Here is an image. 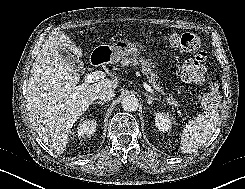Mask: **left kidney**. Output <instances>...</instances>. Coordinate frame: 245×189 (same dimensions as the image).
<instances>
[{"label": "left kidney", "instance_id": "left-kidney-1", "mask_svg": "<svg viewBox=\"0 0 245 189\" xmlns=\"http://www.w3.org/2000/svg\"><path fill=\"white\" fill-rule=\"evenodd\" d=\"M155 125L159 131L166 132L171 129L172 120L168 114L156 113L155 114Z\"/></svg>", "mask_w": 245, "mask_h": 189}]
</instances>
